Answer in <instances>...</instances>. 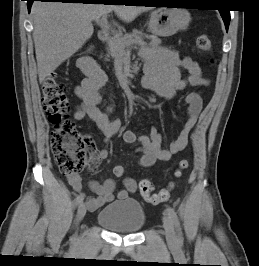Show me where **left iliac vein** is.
Returning <instances> with one entry per match:
<instances>
[{
  "label": "left iliac vein",
  "instance_id": "1",
  "mask_svg": "<svg viewBox=\"0 0 259 266\" xmlns=\"http://www.w3.org/2000/svg\"><path fill=\"white\" fill-rule=\"evenodd\" d=\"M163 227L165 230L166 240H167V243L169 244V246H171V247L176 246L177 237H176L174 225H173V222L171 221V219L167 215L163 216Z\"/></svg>",
  "mask_w": 259,
  "mask_h": 266
}]
</instances>
